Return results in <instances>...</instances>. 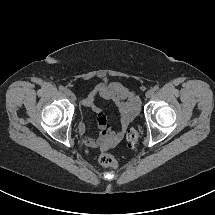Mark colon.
I'll use <instances>...</instances> for the list:
<instances>
[{
	"mask_svg": "<svg viewBox=\"0 0 215 215\" xmlns=\"http://www.w3.org/2000/svg\"><path fill=\"white\" fill-rule=\"evenodd\" d=\"M139 138V131L137 128H132L128 131L127 133V143H126V148L128 150H132ZM99 162L102 166L107 167V168H112L116 169L118 167V162L117 160L110 154L108 153H101L99 156Z\"/></svg>",
	"mask_w": 215,
	"mask_h": 215,
	"instance_id": "obj_1",
	"label": "colon"
}]
</instances>
